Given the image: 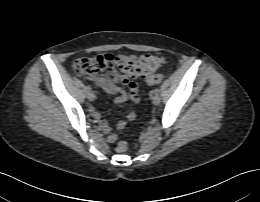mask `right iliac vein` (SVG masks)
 Returning <instances> with one entry per match:
<instances>
[{"instance_id": "63e3f726", "label": "right iliac vein", "mask_w": 260, "mask_h": 202, "mask_svg": "<svg viewBox=\"0 0 260 202\" xmlns=\"http://www.w3.org/2000/svg\"><path fill=\"white\" fill-rule=\"evenodd\" d=\"M87 98H88L90 101H93V100L95 99L94 93H93V92H88Z\"/></svg>"}]
</instances>
